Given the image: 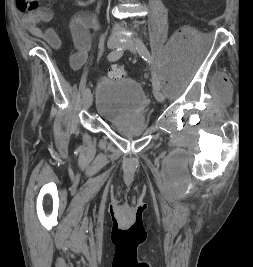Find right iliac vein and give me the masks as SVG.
I'll use <instances>...</instances> for the list:
<instances>
[{"label": "right iliac vein", "instance_id": "obj_1", "mask_svg": "<svg viewBox=\"0 0 253 267\" xmlns=\"http://www.w3.org/2000/svg\"><path fill=\"white\" fill-rule=\"evenodd\" d=\"M120 45V41L119 39L117 38H113V39H110L108 42H107V47L109 49H116L117 47H119ZM84 100H85V105L84 107L86 109L90 108L91 106V103H92V100H93V96L91 93H88L87 95L84 96Z\"/></svg>", "mask_w": 253, "mask_h": 267}]
</instances>
